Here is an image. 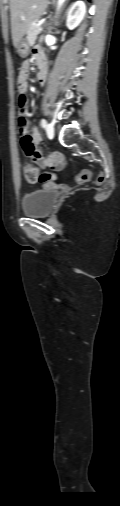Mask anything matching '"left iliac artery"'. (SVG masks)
<instances>
[{"mask_svg": "<svg viewBox=\"0 0 120 506\" xmlns=\"http://www.w3.org/2000/svg\"><path fill=\"white\" fill-rule=\"evenodd\" d=\"M46 124H47V123H46V120H45V119H41V126H42L43 128H45V127H46Z\"/></svg>", "mask_w": 120, "mask_h": 506, "instance_id": "obj_1", "label": "left iliac artery"}]
</instances>
